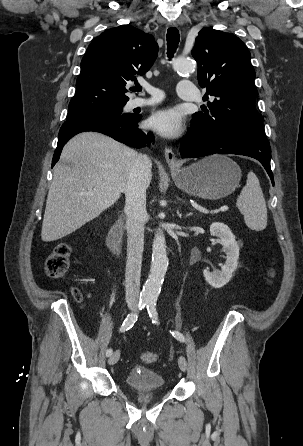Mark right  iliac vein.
Here are the masks:
<instances>
[{"instance_id": "1", "label": "right iliac vein", "mask_w": 303, "mask_h": 446, "mask_svg": "<svg viewBox=\"0 0 303 446\" xmlns=\"http://www.w3.org/2000/svg\"><path fill=\"white\" fill-rule=\"evenodd\" d=\"M134 307H135L134 304H132V303L129 304L130 309H134ZM119 357H120V351L117 350L109 357L108 363L110 365H114L119 360Z\"/></svg>"}]
</instances>
